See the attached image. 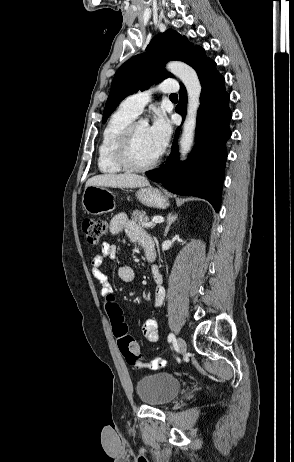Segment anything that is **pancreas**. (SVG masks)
Returning a JSON list of instances; mask_svg holds the SVG:
<instances>
[{"label":"pancreas","instance_id":"obj_1","mask_svg":"<svg viewBox=\"0 0 294 462\" xmlns=\"http://www.w3.org/2000/svg\"><path fill=\"white\" fill-rule=\"evenodd\" d=\"M132 220L144 228H153L155 224H149V219L146 217L145 213L139 210H135L132 213Z\"/></svg>","mask_w":294,"mask_h":462}]
</instances>
